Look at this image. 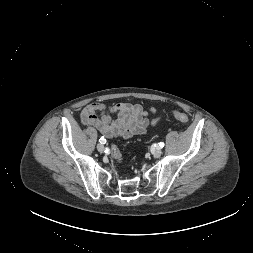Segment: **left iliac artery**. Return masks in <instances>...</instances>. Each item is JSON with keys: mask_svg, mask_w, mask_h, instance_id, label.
<instances>
[{"mask_svg": "<svg viewBox=\"0 0 253 253\" xmlns=\"http://www.w3.org/2000/svg\"><path fill=\"white\" fill-rule=\"evenodd\" d=\"M159 147H161V148L164 147V143H163V142H160V143H159Z\"/></svg>", "mask_w": 253, "mask_h": 253, "instance_id": "left-iliac-artery-1", "label": "left iliac artery"}]
</instances>
